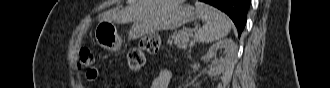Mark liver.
<instances>
[{
    "mask_svg": "<svg viewBox=\"0 0 330 88\" xmlns=\"http://www.w3.org/2000/svg\"><path fill=\"white\" fill-rule=\"evenodd\" d=\"M158 0H137L133 5L122 11H113L106 14L104 20H115L123 23L136 22L146 19L155 9Z\"/></svg>",
    "mask_w": 330,
    "mask_h": 88,
    "instance_id": "obj_1",
    "label": "liver"
}]
</instances>
